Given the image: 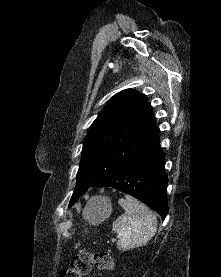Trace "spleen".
Masks as SVG:
<instances>
[{"label": "spleen", "mask_w": 221, "mask_h": 277, "mask_svg": "<svg viewBox=\"0 0 221 277\" xmlns=\"http://www.w3.org/2000/svg\"><path fill=\"white\" fill-rule=\"evenodd\" d=\"M118 204L125 211L115 220L112 228L118 234L119 249L129 250L146 245L157 230L155 214L131 196L118 200Z\"/></svg>", "instance_id": "3e777b00"}]
</instances>
